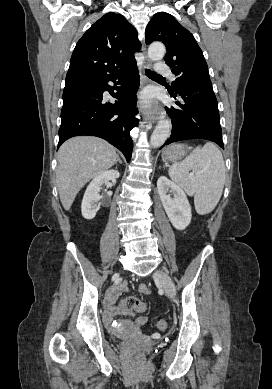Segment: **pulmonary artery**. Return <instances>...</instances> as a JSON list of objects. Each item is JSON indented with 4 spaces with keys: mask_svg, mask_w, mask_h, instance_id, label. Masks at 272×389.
Returning <instances> with one entry per match:
<instances>
[{
    "mask_svg": "<svg viewBox=\"0 0 272 389\" xmlns=\"http://www.w3.org/2000/svg\"><path fill=\"white\" fill-rule=\"evenodd\" d=\"M156 71L160 74V75H165V76H168L170 77L172 80L175 79V75L171 72L169 66L163 62V61H159L156 63Z\"/></svg>",
    "mask_w": 272,
    "mask_h": 389,
    "instance_id": "e3ab8cb5",
    "label": "pulmonary artery"
}]
</instances>
